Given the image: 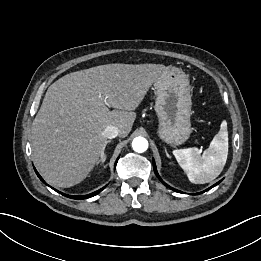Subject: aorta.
Segmentation results:
<instances>
[{"label":"aorta","mask_w":261,"mask_h":261,"mask_svg":"<svg viewBox=\"0 0 261 261\" xmlns=\"http://www.w3.org/2000/svg\"><path fill=\"white\" fill-rule=\"evenodd\" d=\"M132 147L135 152L143 153L148 149V141L144 137H136L132 141Z\"/></svg>","instance_id":"aorta-1"}]
</instances>
